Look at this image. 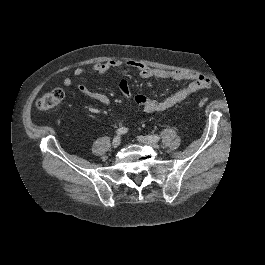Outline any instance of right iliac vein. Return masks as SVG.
<instances>
[{
	"label": "right iliac vein",
	"mask_w": 265,
	"mask_h": 265,
	"mask_svg": "<svg viewBox=\"0 0 265 265\" xmlns=\"http://www.w3.org/2000/svg\"><path fill=\"white\" fill-rule=\"evenodd\" d=\"M120 143H121V138H120V136H116V137L113 139V141H112V146H113L114 148H116V147H118V146L120 145Z\"/></svg>",
	"instance_id": "right-iliac-vein-1"
}]
</instances>
